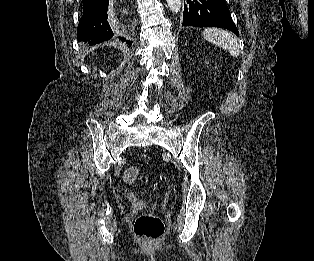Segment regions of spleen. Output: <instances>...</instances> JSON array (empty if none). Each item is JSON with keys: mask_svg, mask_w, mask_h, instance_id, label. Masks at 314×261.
I'll use <instances>...</instances> for the list:
<instances>
[{"mask_svg": "<svg viewBox=\"0 0 314 261\" xmlns=\"http://www.w3.org/2000/svg\"><path fill=\"white\" fill-rule=\"evenodd\" d=\"M202 36L205 40L226 50L232 56L238 57L240 55L238 40L232 33L223 29L210 27L204 29Z\"/></svg>", "mask_w": 314, "mask_h": 261, "instance_id": "1", "label": "spleen"}]
</instances>
